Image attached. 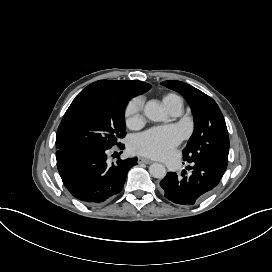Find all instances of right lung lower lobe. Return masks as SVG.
Returning <instances> with one entry per match:
<instances>
[{
	"label": "right lung lower lobe",
	"instance_id": "obj_1",
	"mask_svg": "<svg viewBox=\"0 0 272 272\" xmlns=\"http://www.w3.org/2000/svg\"><path fill=\"white\" fill-rule=\"evenodd\" d=\"M108 149L76 147L57 150V168L67 190L87 205H102L123 188L127 173L137 158L118 159L108 165Z\"/></svg>",
	"mask_w": 272,
	"mask_h": 272
}]
</instances>
